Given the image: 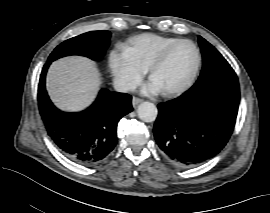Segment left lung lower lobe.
<instances>
[{
    "mask_svg": "<svg viewBox=\"0 0 270 213\" xmlns=\"http://www.w3.org/2000/svg\"><path fill=\"white\" fill-rule=\"evenodd\" d=\"M240 102L239 82L229 73L179 98L158 105L154 137L175 166L199 165L228 142Z\"/></svg>",
    "mask_w": 270,
    "mask_h": 213,
    "instance_id": "0a47b994",
    "label": "left lung lower lobe"
}]
</instances>
